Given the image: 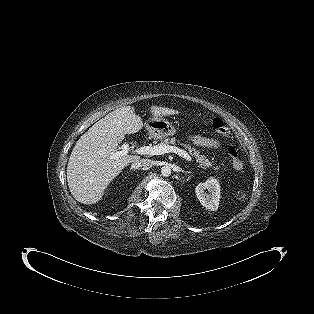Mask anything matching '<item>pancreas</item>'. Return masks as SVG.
Segmentation results:
<instances>
[{
	"mask_svg": "<svg viewBox=\"0 0 314 314\" xmlns=\"http://www.w3.org/2000/svg\"><path fill=\"white\" fill-rule=\"evenodd\" d=\"M160 144L165 145H175L176 139L175 138H163ZM186 150H188V153L193 156L196 159V162L198 163V167L202 169H218L214 166V164L203 154H200V151L197 150L195 147H192L190 144H181Z\"/></svg>",
	"mask_w": 314,
	"mask_h": 314,
	"instance_id": "obj_1",
	"label": "pancreas"
}]
</instances>
